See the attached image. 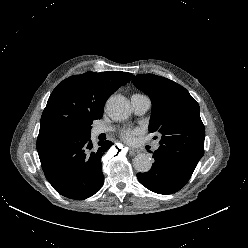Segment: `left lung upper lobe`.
I'll return each instance as SVG.
<instances>
[{"label":"left lung upper lobe","instance_id":"5c2ea615","mask_svg":"<svg viewBox=\"0 0 248 248\" xmlns=\"http://www.w3.org/2000/svg\"><path fill=\"white\" fill-rule=\"evenodd\" d=\"M132 81L152 101L149 131L161 133L159 149L196 168L205 139L198 103L183 86L165 77L136 75Z\"/></svg>","mask_w":248,"mask_h":248}]
</instances>
